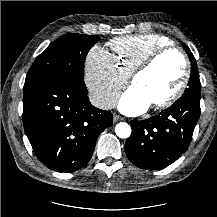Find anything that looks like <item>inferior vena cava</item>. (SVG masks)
<instances>
[{
  "label": "inferior vena cava",
  "mask_w": 217,
  "mask_h": 217,
  "mask_svg": "<svg viewBox=\"0 0 217 217\" xmlns=\"http://www.w3.org/2000/svg\"><path fill=\"white\" fill-rule=\"evenodd\" d=\"M89 100L93 106L103 110L112 109L117 103V97L110 93H90Z\"/></svg>",
  "instance_id": "inferior-vena-cava-1"
}]
</instances>
